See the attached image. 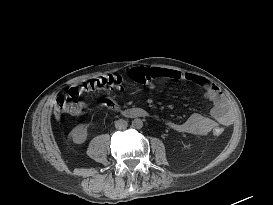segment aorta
Returning a JSON list of instances; mask_svg holds the SVG:
<instances>
[{"mask_svg": "<svg viewBox=\"0 0 273 205\" xmlns=\"http://www.w3.org/2000/svg\"><path fill=\"white\" fill-rule=\"evenodd\" d=\"M131 126L134 129H141L143 127V121L139 118L133 119Z\"/></svg>", "mask_w": 273, "mask_h": 205, "instance_id": "1", "label": "aorta"}]
</instances>
